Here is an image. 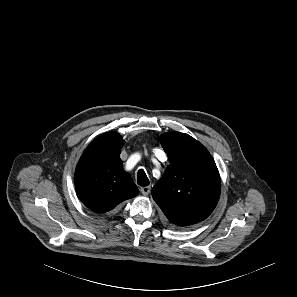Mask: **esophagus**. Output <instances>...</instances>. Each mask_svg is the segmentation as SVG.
Listing matches in <instances>:
<instances>
[{
  "label": "esophagus",
  "mask_w": 297,
  "mask_h": 297,
  "mask_svg": "<svg viewBox=\"0 0 297 297\" xmlns=\"http://www.w3.org/2000/svg\"><path fill=\"white\" fill-rule=\"evenodd\" d=\"M151 191V187L150 186H144V187H141V192L143 195H148Z\"/></svg>",
  "instance_id": "esophagus-1"
}]
</instances>
